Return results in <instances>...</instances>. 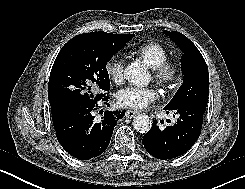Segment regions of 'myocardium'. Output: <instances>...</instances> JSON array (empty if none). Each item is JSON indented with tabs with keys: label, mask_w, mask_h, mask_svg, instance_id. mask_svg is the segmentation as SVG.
<instances>
[{
	"label": "myocardium",
	"mask_w": 245,
	"mask_h": 189,
	"mask_svg": "<svg viewBox=\"0 0 245 189\" xmlns=\"http://www.w3.org/2000/svg\"><path fill=\"white\" fill-rule=\"evenodd\" d=\"M153 76L161 86H169L179 76V66L176 62L166 60L153 69Z\"/></svg>",
	"instance_id": "f54148a6"
}]
</instances>
